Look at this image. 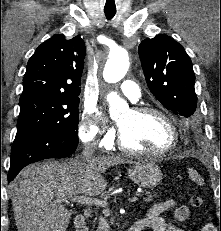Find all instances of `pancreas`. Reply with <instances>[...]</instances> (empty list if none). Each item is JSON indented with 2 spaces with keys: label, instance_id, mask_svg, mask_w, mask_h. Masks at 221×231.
<instances>
[{
  "label": "pancreas",
  "instance_id": "pancreas-1",
  "mask_svg": "<svg viewBox=\"0 0 221 231\" xmlns=\"http://www.w3.org/2000/svg\"><path fill=\"white\" fill-rule=\"evenodd\" d=\"M146 195H147V197L144 198L145 201H151L152 198H153V196H155V195H152V193H150V192H146ZM103 214H104L105 216H108L109 211H108L107 209H105V210L103 211ZM109 228H110V227H109V225H108L106 219H105L104 217H100V218H99L98 230H99V231H108Z\"/></svg>",
  "mask_w": 221,
  "mask_h": 231
}]
</instances>
